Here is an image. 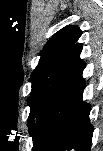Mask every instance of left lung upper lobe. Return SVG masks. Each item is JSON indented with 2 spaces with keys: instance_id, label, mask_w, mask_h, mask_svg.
I'll return each instance as SVG.
<instances>
[{
  "instance_id": "5c2ea615",
  "label": "left lung upper lobe",
  "mask_w": 103,
  "mask_h": 151,
  "mask_svg": "<svg viewBox=\"0 0 103 151\" xmlns=\"http://www.w3.org/2000/svg\"><path fill=\"white\" fill-rule=\"evenodd\" d=\"M81 34L82 31L76 25H67L55 33L44 46L39 63L31 74L29 82H32L53 59L74 45Z\"/></svg>"
}]
</instances>
